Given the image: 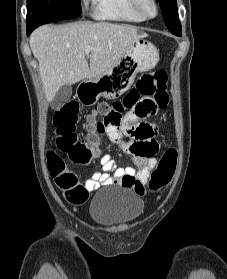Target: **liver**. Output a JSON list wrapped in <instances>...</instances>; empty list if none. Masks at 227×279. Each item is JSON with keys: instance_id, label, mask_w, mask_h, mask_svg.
I'll return each instance as SVG.
<instances>
[{"instance_id": "liver-1", "label": "liver", "mask_w": 227, "mask_h": 279, "mask_svg": "<svg viewBox=\"0 0 227 279\" xmlns=\"http://www.w3.org/2000/svg\"><path fill=\"white\" fill-rule=\"evenodd\" d=\"M140 35L137 27L108 22L37 28L30 36V47L39 62L47 102L53 100L61 86L96 78L114 66ZM88 46L92 47L89 64Z\"/></svg>"}]
</instances>
